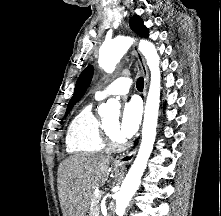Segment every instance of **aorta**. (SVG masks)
Masks as SVG:
<instances>
[{
	"instance_id": "obj_1",
	"label": "aorta",
	"mask_w": 221,
	"mask_h": 216,
	"mask_svg": "<svg viewBox=\"0 0 221 216\" xmlns=\"http://www.w3.org/2000/svg\"><path fill=\"white\" fill-rule=\"evenodd\" d=\"M133 41L134 39L131 37L119 36L105 42L99 50V66L105 72L112 73L117 63L133 44ZM139 50L144 55L150 69L151 83L144 111L141 145L120 190L115 195L117 215L125 213L131 198L137 191L156 138L161 88L160 57L153 43L147 40H140ZM119 109L120 103L117 100L109 99L106 103L100 105L98 113L101 117H106L111 113H119Z\"/></svg>"
}]
</instances>
